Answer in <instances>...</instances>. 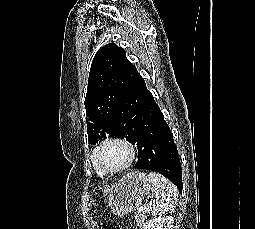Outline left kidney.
Segmentation results:
<instances>
[{"label": "left kidney", "mask_w": 255, "mask_h": 229, "mask_svg": "<svg viewBox=\"0 0 255 229\" xmlns=\"http://www.w3.org/2000/svg\"><path fill=\"white\" fill-rule=\"evenodd\" d=\"M174 219L171 216L159 217L149 220L142 229H172Z\"/></svg>", "instance_id": "left-kidney-1"}]
</instances>
